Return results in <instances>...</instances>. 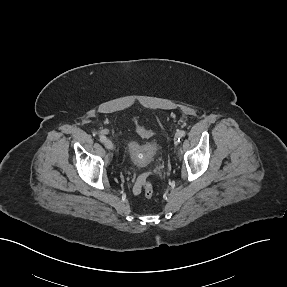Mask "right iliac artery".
<instances>
[{"label": "right iliac artery", "mask_w": 287, "mask_h": 287, "mask_svg": "<svg viewBox=\"0 0 287 287\" xmlns=\"http://www.w3.org/2000/svg\"><path fill=\"white\" fill-rule=\"evenodd\" d=\"M99 139H100L101 142H105L106 141V137L103 136V135L99 136Z\"/></svg>", "instance_id": "obj_1"}]
</instances>
